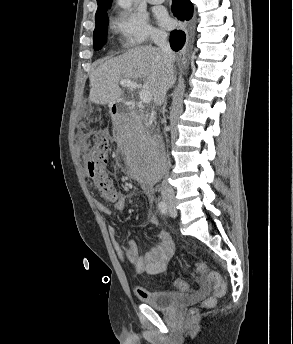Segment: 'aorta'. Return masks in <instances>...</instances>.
I'll list each match as a JSON object with an SVG mask.
<instances>
[{"label":"aorta","mask_w":293,"mask_h":344,"mask_svg":"<svg viewBox=\"0 0 293 344\" xmlns=\"http://www.w3.org/2000/svg\"><path fill=\"white\" fill-rule=\"evenodd\" d=\"M133 0H117V4L125 9L128 10L132 6Z\"/></svg>","instance_id":"obj_1"}]
</instances>
